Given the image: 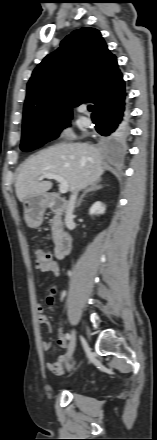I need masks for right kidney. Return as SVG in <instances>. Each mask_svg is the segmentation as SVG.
<instances>
[{
    "label": "right kidney",
    "mask_w": 157,
    "mask_h": 440,
    "mask_svg": "<svg viewBox=\"0 0 157 440\" xmlns=\"http://www.w3.org/2000/svg\"><path fill=\"white\" fill-rule=\"evenodd\" d=\"M104 212H105V206L99 201L95 202L89 210L90 215H94V214L99 215V214H103Z\"/></svg>",
    "instance_id": "right-kidney-1"
}]
</instances>
